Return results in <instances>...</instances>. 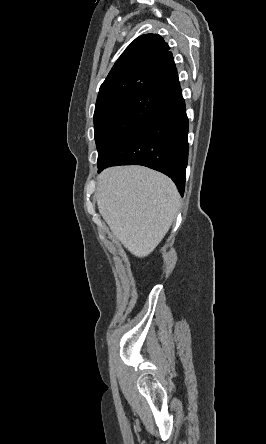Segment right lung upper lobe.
<instances>
[{"label":"right lung upper lobe","instance_id":"cb5924a9","mask_svg":"<svg viewBox=\"0 0 266 444\" xmlns=\"http://www.w3.org/2000/svg\"><path fill=\"white\" fill-rule=\"evenodd\" d=\"M157 34L136 38L116 61L100 87L96 105L141 92L167 103L182 95L172 53Z\"/></svg>","mask_w":266,"mask_h":444}]
</instances>
